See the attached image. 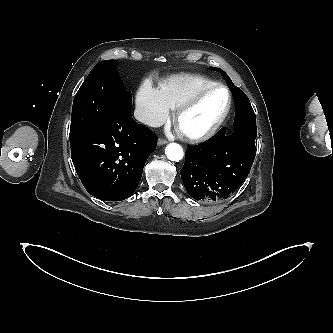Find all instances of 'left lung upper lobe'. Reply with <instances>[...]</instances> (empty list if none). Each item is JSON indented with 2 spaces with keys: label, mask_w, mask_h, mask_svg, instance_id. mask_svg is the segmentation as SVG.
<instances>
[{
  "label": "left lung upper lobe",
  "mask_w": 333,
  "mask_h": 333,
  "mask_svg": "<svg viewBox=\"0 0 333 333\" xmlns=\"http://www.w3.org/2000/svg\"><path fill=\"white\" fill-rule=\"evenodd\" d=\"M211 69H212V70H215V71H217V72H219V73L222 75V77H223V78L228 82V84L230 85L231 90H232L233 93L242 96V97L246 100V102H247L248 104H250V102H249L247 96H246V95H245V94H244L239 88H237V87L233 84V82L231 81L230 77H229V76H228V75H227L222 69H220V68H214V67H211Z\"/></svg>",
  "instance_id": "5c2ea615"
}]
</instances>
